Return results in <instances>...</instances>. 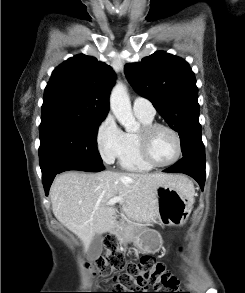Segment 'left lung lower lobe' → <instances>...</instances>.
Here are the masks:
<instances>
[{
  "instance_id": "0a47b994",
  "label": "left lung lower lobe",
  "mask_w": 245,
  "mask_h": 293,
  "mask_svg": "<svg viewBox=\"0 0 245 293\" xmlns=\"http://www.w3.org/2000/svg\"><path fill=\"white\" fill-rule=\"evenodd\" d=\"M163 172L184 173L194 178L203 191L205 183V161H201L192 157H183L173 166Z\"/></svg>"
}]
</instances>
